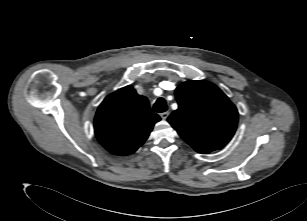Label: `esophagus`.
Returning <instances> with one entry per match:
<instances>
[{
    "instance_id": "obj_1",
    "label": "esophagus",
    "mask_w": 307,
    "mask_h": 221,
    "mask_svg": "<svg viewBox=\"0 0 307 221\" xmlns=\"http://www.w3.org/2000/svg\"><path fill=\"white\" fill-rule=\"evenodd\" d=\"M169 114H170L169 111H165V112L161 113L160 116L163 120H166L168 118Z\"/></svg>"
}]
</instances>
